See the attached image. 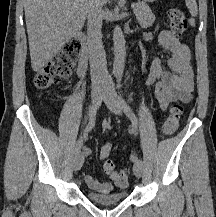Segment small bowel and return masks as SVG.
Here are the masks:
<instances>
[{"mask_svg": "<svg viewBox=\"0 0 216 217\" xmlns=\"http://www.w3.org/2000/svg\"><path fill=\"white\" fill-rule=\"evenodd\" d=\"M152 33L144 35V39H153ZM162 52L167 56L156 57L150 67V73L146 84L154 86V94L159 102L162 112H166L169 105L174 102L186 104L191 101L194 91V70L191 63V51L189 47L179 41L171 32L162 31L158 36ZM166 63L167 67L164 66ZM85 71H79L83 75ZM112 150V143H105L99 152V159L104 163L109 160ZM85 155L90 156L91 150L83 147ZM105 171V170H104ZM110 175L109 172L105 171ZM86 184L100 192H107L111 189V181L100 182L92 175H85Z\"/></svg>", "mask_w": 216, "mask_h": 217, "instance_id": "c3829d8e", "label": "small bowel"}]
</instances>
